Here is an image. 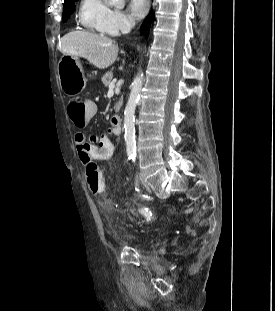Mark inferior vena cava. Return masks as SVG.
I'll list each match as a JSON object with an SVG mask.
<instances>
[{"label":"inferior vena cava","mask_w":275,"mask_h":311,"mask_svg":"<svg viewBox=\"0 0 275 311\" xmlns=\"http://www.w3.org/2000/svg\"><path fill=\"white\" fill-rule=\"evenodd\" d=\"M131 28H132V23L130 21H124L120 26L121 32L123 34L129 33Z\"/></svg>","instance_id":"602c4592"}]
</instances>
